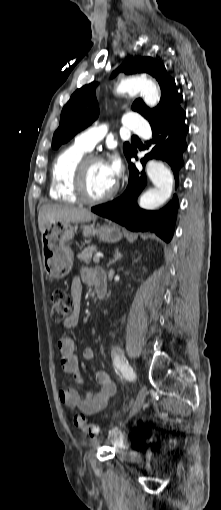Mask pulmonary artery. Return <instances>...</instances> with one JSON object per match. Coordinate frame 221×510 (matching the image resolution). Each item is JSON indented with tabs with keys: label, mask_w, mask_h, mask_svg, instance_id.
<instances>
[{
	"label": "pulmonary artery",
	"mask_w": 221,
	"mask_h": 510,
	"mask_svg": "<svg viewBox=\"0 0 221 510\" xmlns=\"http://www.w3.org/2000/svg\"><path fill=\"white\" fill-rule=\"evenodd\" d=\"M125 129L131 130L143 138L150 136V127L148 122L137 113H128L123 120ZM107 132L105 125L91 127L76 136V143L81 145L87 150L93 147L104 137Z\"/></svg>",
	"instance_id": "obj_1"
}]
</instances>
